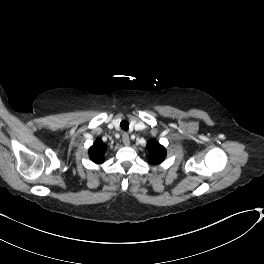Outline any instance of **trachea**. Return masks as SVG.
<instances>
[{
    "instance_id": "obj_1",
    "label": "trachea",
    "mask_w": 264,
    "mask_h": 264,
    "mask_svg": "<svg viewBox=\"0 0 264 264\" xmlns=\"http://www.w3.org/2000/svg\"><path fill=\"white\" fill-rule=\"evenodd\" d=\"M121 129L127 131L129 129V123L126 120H122L120 123Z\"/></svg>"
}]
</instances>
